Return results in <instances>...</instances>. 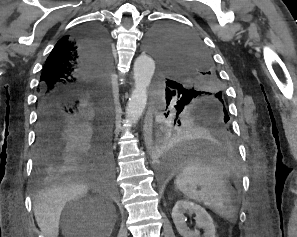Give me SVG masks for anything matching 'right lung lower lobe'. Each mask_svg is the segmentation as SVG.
<instances>
[{"label": "right lung lower lobe", "mask_w": 297, "mask_h": 237, "mask_svg": "<svg viewBox=\"0 0 297 237\" xmlns=\"http://www.w3.org/2000/svg\"><path fill=\"white\" fill-rule=\"evenodd\" d=\"M82 67L99 81L110 63V41L103 27L80 30ZM104 85L98 84L78 100L60 92L41 94L38 104L34 174L38 181L72 173L111 176L113 155L107 119Z\"/></svg>", "instance_id": "98d812e1"}]
</instances>
